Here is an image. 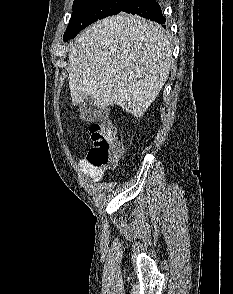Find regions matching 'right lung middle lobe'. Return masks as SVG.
I'll return each instance as SVG.
<instances>
[{"label": "right lung middle lobe", "mask_w": 233, "mask_h": 294, "mask_svg": "<svg viewBox=\"0 0 233 294\" xmlns=\"http://www.w3.org/2000/svg\"><path fill=\"white\" fill-rule=\"evenodd\" d=\"M129 0H74L73 13L63 40L74 38L91 23L118 14Z\"/></svg>", "instance_id": "1"}]
</instances>
